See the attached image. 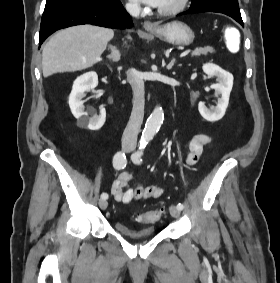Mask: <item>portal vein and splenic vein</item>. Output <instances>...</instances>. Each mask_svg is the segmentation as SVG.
Returning a JSON list of instances; mask_svg holds the SVG:
<instances>
[{
  "instance_id": "portal-vein-and-splenic-vein-1",
  "label": "portal vein and splenic vein",
  "mask_w": 280,
  "mask_h": 283,
  "mask_svg": "<svg viewBox=\"0 0 280 283\" xmlns=\"http://www.w3.org/2000/svg\"><path fill=\"white\" fill-rule=\"evenodd\" d=\"M190 52H191L190 49H187V50L183 51V52L180 54V58L185 57V56L188 55Z\"/></svg>"
}]
</instances>
